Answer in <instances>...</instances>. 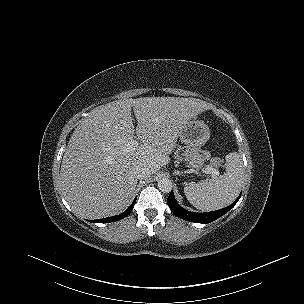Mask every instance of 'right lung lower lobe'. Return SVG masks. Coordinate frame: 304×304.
<instances>
[{
  "label": "right lung lower lobe",
  "mask_w": 304,
  "mask_h": 304,
  "mask_svg": "<svg viewBox=\"0 0 304 304\" xmlns=\"http://www.w3.org/2000/svg\"><path fill=\"white\" fill-rule=\"evenodd\" d=\"M135 202H136V198L134 199L133 203L129 206V208L125 212H123L119 215L108 217V218H103V219L89 220V221L93 222V223H109V222L121 220V219L125 218L126 216H128V214L133 209Z\"/></svg>",
  "instance_id": "1"
}]
</instances>
